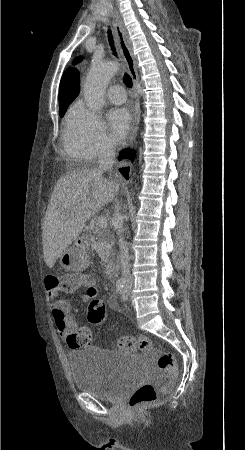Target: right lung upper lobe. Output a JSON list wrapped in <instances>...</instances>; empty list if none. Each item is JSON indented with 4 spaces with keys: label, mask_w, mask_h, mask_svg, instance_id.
Wrapping results in <instances>:
<instances>
[{
    "label": "right lung upper lobe",
    "mask_w": 245,
    "mask_h": 450,
    "mask_svg": "<svg viewBox=\"0 0 245 450\" xmlns=\"http://www.w3.org/2000/svg\"><path fill=\"white\" fill-rule=\"evenodd\" d=\"M79 72L77 69H68L64 72L59 87L60 109L68 106L79 94Z\"/></svg>",
    "instance_id": "right-lung-upper-lobe-1"
}]
</instances>
